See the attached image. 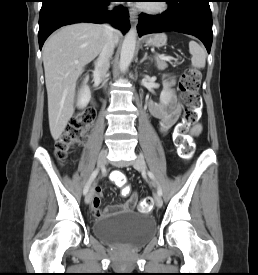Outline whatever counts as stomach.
Instances as JSON below:
<instances>
[{
    "label": "stomach",
    "mask_w": 258,
    "mask_h": 275,
    "mask_svg": "<svg viewBox=\"0 0 258 275\" xmlns=\"http://www.w3.org/2000/svg\"><path fill=\"white\" fill-rule=\"evenodd\" d=\"M145 42L149 46L162 47L167 42V37L164 33H157L150 35L145 39Z\"/></svg>",
    "instance_id": "1"
}]
</instances>
